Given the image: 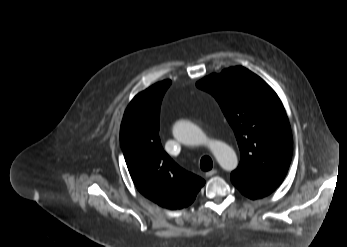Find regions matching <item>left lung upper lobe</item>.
Here are the masks:
<instances>
[{
    "label": "left lung upper lobe",
    "instance_id": "1",
    "mask_svg": "<svg viewBox=\"0 0 347 247\" xmlns=\"http://www.w3.org/2000/svg\"><path fill=\"white\" fill-rule=\"evenodd\" d=\"M196 85L215 97L237 138L241 160L231 179L278 187L288 171L293 142L274 90L243 67L211 74Z\"/></svg>",
    "mask_w": 347,
    "mask_h": 247
}]
</instances>
